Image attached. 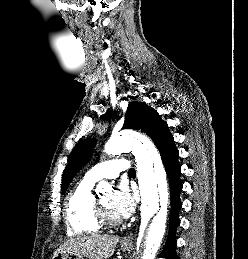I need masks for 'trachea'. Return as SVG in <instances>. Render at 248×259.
Wrapping results in <instances>:
<instances>
[{
  "instance_id": "obj_1",
  "label": "trachea",
  "mask_w": 248,
  "mask_h": 259,
  "mask_svg": "<svg viewBox=\"0 0 248 259\" xmlns=\"http://www.w3.org/2000/svg\"><path fill=\"white\" fill-rule=\"evenodd\" d=\"M135 173H136L135 169L131 168V169L129 170V174H135Z\"/></svg>"
}]
</instances>
